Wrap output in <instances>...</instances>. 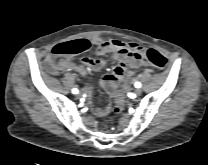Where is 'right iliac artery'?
I'll return each mask as SVG.
<instances>
[{
  "label": "right iliac artery",
  "mask_w": 208,
  "mask_h": 165,
  "mask_svg": "<svg viewBox=\"0 0 208 165\" xmlns=\"http://www.w3.org/2000/svg\"><path fill=\"white\" fill-rule=\"evenodd\" d=\"M72 93L73 94H77L78 93V90L76 88L72 89Z\"/></svg>",
  "instance_id": "1"
}]
</instances>
